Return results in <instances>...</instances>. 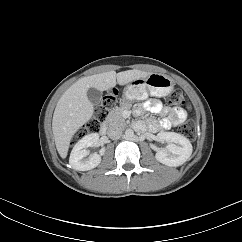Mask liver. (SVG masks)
I'll return each instance as SVG.
<instances>
[{
	"label": "liver",
	"instance_id": "6515ba94",
	"mask_svg": "<svg viewBox=\"0 0 242 242\" xmlns=\"http://www.w3.org/2000/svg\"><path fill=\"white\" fill-rule=\"evenodd\" d=\"M151 72L127 70L116 73L108 71L84 77L71 85L60 97L52 120L56 149L62 159L68 154L74 135L88 123L94 114V106L88 99V90L107 91L116 86L129 85L138 78H146Z\"/></svg>",
	"mask_w": 242,
	"mask_h": 242
}]
</instances>
